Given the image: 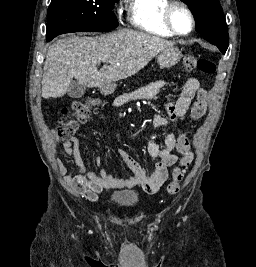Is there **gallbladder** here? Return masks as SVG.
Masks as SVG:
<instances>
[{
    "label": "gallbladder",
    "instance_id": "bac80fb5",
    "mask_svg": "<svg viewBox=\"0 0 256 267\" xmlns=\"http://www.w3.org/2000/svg\"><path fill=\"white\" fill-rule=\"evenodd\" d=\"M85 92L86 86H84V84H80V82H75V80H71L67 88V94L68 96H70V98H82Z\"/></svg>",
    "mask_w": 256,
    "mask_h": 267
}]
</instances>
